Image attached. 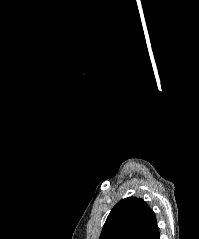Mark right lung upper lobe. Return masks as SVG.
<instances>
[{
    "instance_id": "1",
    "label": "right lung upper lobe",
    "mask_w": 199,
    "mask_h": 239,
    "mask_svg": "<svg viewBox=\"0 0 199 239\" xmlns=\"http://www.w3.org/2000/svg\"><path fill=\"white\" fill-rule=\"evenodd\" d=\"M156 225L155 214L145 201L128 197L113 207L99 239H142Z\"/></svg>"
}]
</instances>
